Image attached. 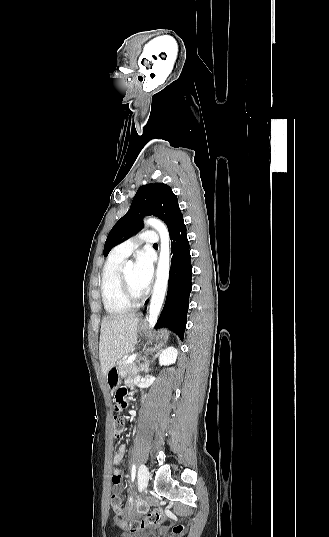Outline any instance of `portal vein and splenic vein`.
I'll return each instance as SVG.
<instances>
[{
	"mask_svg": "<svg viewBox=\"0 0 329 537\" xmlns=\"http://www.w3.org/2000/svg\"><path fill=\"white\" fill-rule=\"evenodd\" d=\"M136 357H137L136 354L131 355V356L127 359L126 363H127V364H131V363H133V362L135 361Z\"/></svg>",
	"mask_w": 329,
	"mask_h": 537,
	"instance_id": "portal-vein-and-splenic-vein-1",
	"label": "portal vein and splenic vein"
}]
</instances>
